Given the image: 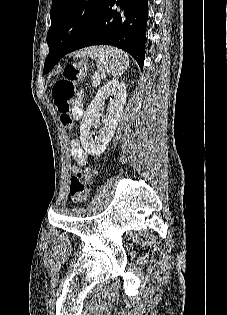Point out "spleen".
I'll return each mask as SVG.
<instances>
[{"instance_id": "1", "label": "spleen", "mask_w": 227, "mask_h": 315, "mask_svg": "<svg viewBox=\"0 0 227 315\" xmlns=\"http://www.w3.org/2000/svg\"><path fill=\"white\" fill-rule=\"evenodd\" d=\"M77 56H89L92 59H97L103 69L114 77L123 74L129 65L127 54L113 47L93 48L88 51L78 52Z\"/></svg>"}]
</instances>
